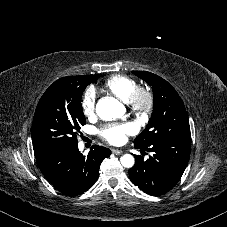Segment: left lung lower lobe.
Listing matches in <instances>:
<instances>
[{"instance_id":"obj_1","label":"left lung lower lobe","mask_w":227,"mask_h":227,"mask_svg":"<svg viewBox=\"0 0 227 227\" xmlns=\"http://www.w3.org/2000/svg\"><path fill=\"white\" fill-rule=\"evenodd\" d=\"M134 146L141 149V152H151V155L146 160L140 155H134L136 162L129 170L132 183L152 196L170 191L178 183L188 164L191 139L179 138L148 146Z\"/></svg>"}]
</instances>
